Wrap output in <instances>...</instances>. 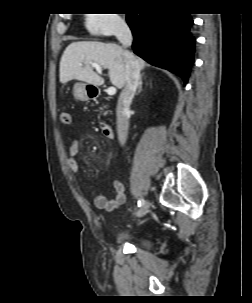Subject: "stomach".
I'll return each mask as SVG.
<instances>
[{
	"label": "stomach",
	"instance_id": "1",
	"mask_svg": "<svg viewBox=\"0 0 252 303\" xmlns=\"http://www.w3.org/2000/svg\"><path fill=\"white\" fill-rule=\"evenodd\" d=\"M90 85L88 83L85 82H77L74 84L73 87V94L74 97L78 100L81 101H86L89 99V95H88V87Z\"/></svg>",
	"mask_w": 252,
	"mask_h": 303
}]
</instances>
